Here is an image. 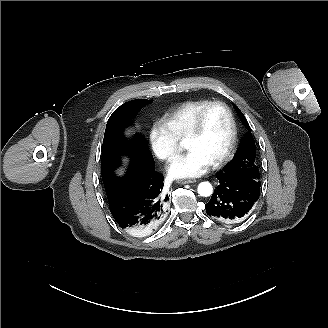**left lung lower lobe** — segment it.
I'll list each match as a JSON object with an SVG mask.
<instances>
[{"label":"left lung lower lobe","mask_w":328,"mask_h":328,"mask_svg":"<svg viewBox=\"0 0 328 328\" xmlns=\"http://www.w3.org/2000/svg\"><path fill=\"white\" fill-rule=\"evenodd\" d=\"M217 178L219 185L205 204L206 213L225 223L244 219L259 198L260 177L220 171Z\"/></svg>","instance_id":"1"}]
</instances>
